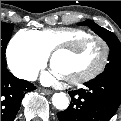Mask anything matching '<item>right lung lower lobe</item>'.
I'll return each instance as SVG.
<instances>
[{
	"mask_svg": "<svg viewBox=\"0 0 121 121\" xmlns=\"http://www.w3.org/2000/svg\"><path fill=\"white\" fill-rule=\"evenodd\" d=\"M34 89L32 83L11 74L6 68L5 58L1 57V121H13L25 92Z\"/></svg>",
	"mask_w": 121,
	"mask_h": 121,
	"instance_id": "1",
	"label": "right lung lower lobe"
}]
</instances>
